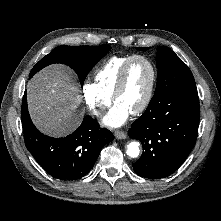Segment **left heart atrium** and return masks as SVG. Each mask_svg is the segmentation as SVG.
<instances>
[{"label":"left heart atrium","mask_w":221,"mask_h":221,"mask_svg":"<svg viewBox=\"0 0 221 221\" xmlns=\"http://www.w3.org/2000/svg\"><path fill=\"white\" fill-rule=\"evenodd\" d=\"M131 112L121 104H115L104 117L103 123L109 127H120L129 118Z\"/></svg>","instance_id":"1"}]
</instances>
